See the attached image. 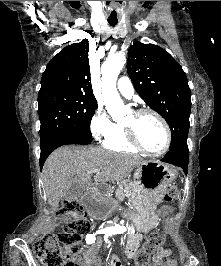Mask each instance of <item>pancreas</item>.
I'll return each instance as SVG.
<instances>
[{
    "instance_id": "1",
    "label": "pancreas",
    "mask_w": 221,
    "mask_h": 266,
    "mask_svg": "<svg viewBox=\"0 0 221 266\" xmlns=\"http://www.w3.org/2000/svg\"><path fill=\"white\" fill-rule=\"evenodd\" d=\"M132 186V182L129 180L121 181L118 185V188L115 191V196L118 201H123L125 197L130 196V188Z\"/></svg>"
}]
</instances>
